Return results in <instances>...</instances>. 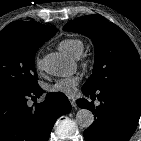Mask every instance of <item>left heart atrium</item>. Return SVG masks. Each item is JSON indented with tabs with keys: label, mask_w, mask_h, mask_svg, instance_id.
I'll return each mask as SVG.
<instances>
[{
	"label": "left heart atrium",
	"mask_w": 141,
	"mask_h": 141,
	"mask_svg": "<svg viewBox=\"0 0 141 141\" xmlns=\"http://www.w3.org/2000/svg\"><path fill=\"white\" fill-rule=\"evenodd\" d=\"M80 82L78 76H70L58 80L55 84L51 86L52 92L63 93L66 95H73L76 91V88Z\"/></svg>",
	"instance_id": "39dd6f15"
}]
</instances>
